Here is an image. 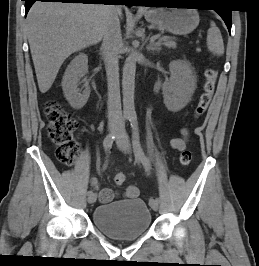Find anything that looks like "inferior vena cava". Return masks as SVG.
Returning a JSON list of instances; mask_svg holds the SVG:
<instances>
[{"label": "inferior vena cava", "mask_w": 259, "mask_h": 266, "mask_svg": "<svg viewBox=\"0 0 259 266\" xmlns=\"http://www.w3.org/2000/svg\"><path fill=\"white\" fill-rule=\"evenodd\" d=\"M118 15H120V6L110 5L104 26L102 43L108 83V119L114 123H121L123 120L118 68L119 49L122 44V37Z\"/></svg>", "instance_id": "obj_1"}]
</instances>
